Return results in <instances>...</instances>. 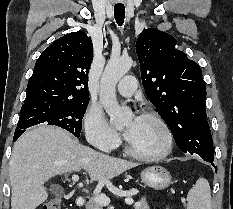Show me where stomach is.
<instances>
[{
	"label": "stomach",
	"mask_w": 233,
	"mask_h": 209,
	"mask_svg": "<svg viewBox=\"0 0 233 209\" xmlns=\"http://www.w3.org/2000/svg\"><path fill=\"white\" fill-rule=\"evenodd\" d=\"M142 182L155 190H162L171 184L170 172L159 165L150 166L141 172Z\"/></svg>",
	"instance_id": "stomach-1"
}]
</instances>
